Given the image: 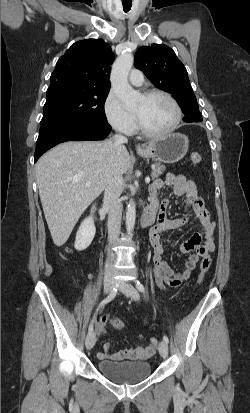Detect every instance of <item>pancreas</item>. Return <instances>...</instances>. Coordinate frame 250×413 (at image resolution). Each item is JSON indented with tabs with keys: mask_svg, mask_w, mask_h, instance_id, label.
<instances>
[{
	"mask_svg": "<svg viewBox=\"0 0 250 413\" xmlns=\"http://www.w3.org/2000/svg\"><path fill=\"white\" fill-rule=\"evenodd\" d=\"M152 170L153 171L151 173V176L153 179H155V178H158L163 173V171L165 170V166L161 165L160 163H155L153 165Z\"/></svg>",
	"mask_w": 250,
	"mask_h": 413,
	"instance_id": "obj_1",
	"label": "pancreas"
}]
</instances>
